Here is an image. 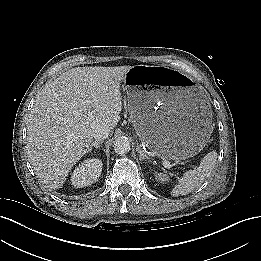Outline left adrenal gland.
I'll return each mask as SVG.
<instances>
[{
    "mask_svg": "<svg viewBox=\"0 0 261 261\" xmlns=\"http://www.w3.org/2000/svg\"><path fill=\"white\" fill-rule=\"evenodd\" d=\"M136 151L140 154L139 155L140 160H145V159L149 160V157L144 153V151L139 146H137Z\"/></svg>",
    "mask_w": 261,
    "mask_h": 261,
    "instance_id": "left-adrenal-gland-1",
    "label": "left adrenal gland"
}]
</instances>
